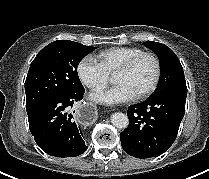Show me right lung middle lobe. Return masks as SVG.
Returning a JSON list of instances; mask_svg holds the SVG:
<instances>
[{
  "label": "right lung middle lobe",
  "mask_w": 209,
  "mask_h": 179,
  "mask_svg": "<svg viewBox=\"0 0 209 179\" xmlns=\"http://www.w3.org/2000/svg\"><path fill=\"white\" fill-rule=\"evenodd\" d=\"M95 49L69 40L44 47L32 61L25 81L27 114L52 98L83 91L77 67Z\"/></svg>",
  "instance_id": "1"
}]
</instances>
